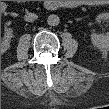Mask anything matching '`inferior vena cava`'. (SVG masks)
<instances>
[{
    "label": "inferior vena cava",
    "instance_id": "602c4592",
    "mask_svg": "<svg viewBox=\"0 0 109 109\" xmlns=\"http://www.w3.org/2000/svg\"><path fill=\"white\" fill-rule=\"evenodd\" d=\"M38 18V16L34 13H27L25 16H24V20L27 21V22H33L35 21L36 19Z\"/></svg>",
    "mask_w": 109,
    "mask_h": 109
}]
</instances>
